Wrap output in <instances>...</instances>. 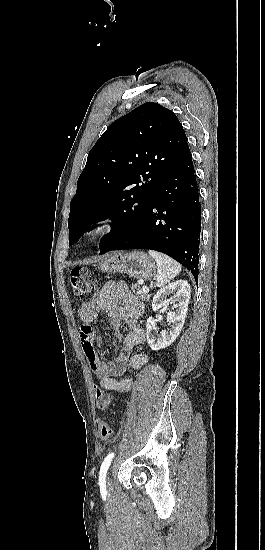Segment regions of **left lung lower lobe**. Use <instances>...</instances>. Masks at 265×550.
I'll list each match as a JSON object with an SVG mask.
<instances>
[{"instance_id":"0a47b994","label":"left lung lower lobe","mask_w":265,"mask_h":550,"mask_svg":"<svg viewBox=\"0 0 265 550\" xmlns=\"http://www.w3.org/2000/svg\"><path fill=\"white\" fill-rule=\"evenodd\" d=\"M201 206L189 148L170 170L139 221L99 254L151 249L169 255L198 280Z\"/></svg>"}]
</instances>
